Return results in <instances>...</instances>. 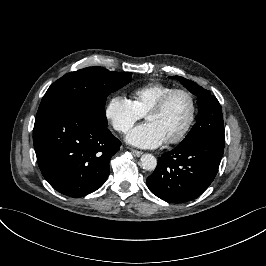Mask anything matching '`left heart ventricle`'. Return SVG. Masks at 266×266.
I'll use <instances>...</instances> for the list:
<instances>
[{"label": "left heart ventricle", "instance_id": "obj_1", "mask_svg": "<svg viewBox=\"0 0 266 266\" xmlns=\"http://www.w3.org/2000/svg\"><path fill=\"white\" fill-rule=\"evenodd\" d=\"M191 104L184 94L174 95L161 112L149 113L147 122L153 123L165 140L175 138L189 120Z\"/></svg>", "mask_w": 266, "mask_h": 266}]
</instances>
